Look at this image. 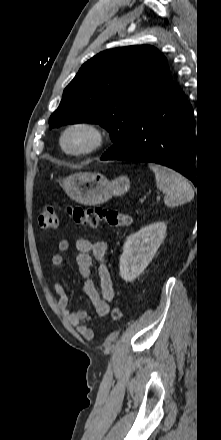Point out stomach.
Segmentation results:
<instances>
[{
    "label": "stomach",
    "instance_id": "1",
    "mask_svg": "<svg viewBox=\"0 0 221 440\" xmlns=\"http://www.w3.org/2000/svg\"><path fill=\"white\" fill-rule=\"evenodd\" d=\"M59 183L73 200L84 205L102 204L112 196L123 195L130 189L127 176L109 180L99 172L74 173Z\"/></svg>",
    "mask_w": 221,
    "mask_h": 440
}]
</instances>
